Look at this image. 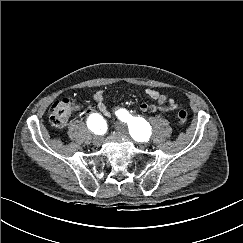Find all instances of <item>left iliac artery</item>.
Returning a JSON list of instances; mask_svg holds the SVG:
<instances>
[{
    "label": "left iliac artery",
    "instance_id": "left-iliac-artery-1",
    "mask_svg": "<svg viewBox=\"0 0 243 243\" xmlns=\"http://www.w3.org/2000/svg\"><path fill=\"white\" fill-rule=\"evenodd\" d=\"M116 115L121 121L128 123L130 135L136 141H146L149 124L143 118L133 117L125 109L119 110Z\"/></svg>",
    "mask_w": 243,
    "mask_h": 243
}]
</instances>
